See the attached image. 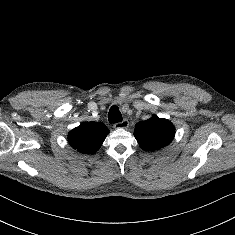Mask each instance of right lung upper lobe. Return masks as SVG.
Segmentation results:
<instances>
[{
	"mask_svg": "<svg viewBox=\"0 0 235 235\" xmlns=\"http://www.w3.org/2000/svg\"><path fill=\"white\" fill-rule=\"evenodd\" d=\"M108 133L101 122H83L69 132L68 141L77 151L92 154L100 148Z\"/></svg>",
	"mask_w": 235,
	"mask_h": 235,
	"instance_id": "1",
	"label": "right lung upper lobe"
}]
</instances>
